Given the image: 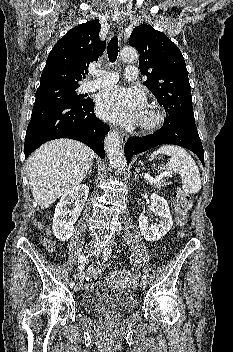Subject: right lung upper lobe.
Masks as SVG:
<instances>
[{"mask_svg":"<svg viewBox=\"0 0 233 352\" xmlns=\"http://www.w3.org/2000/svg\"><path fill=\"white\" fill-rule=\"evenodd\" d=\"M101 25L92 20L72 28L52 48L40 86L79 85L89 64L103 54L106 41L99 39Z\"/></svg>","mask_w":233,"mask_h":352,"instance_id":"obj_1","label":"right lung upper lobe"}]
</instances>
